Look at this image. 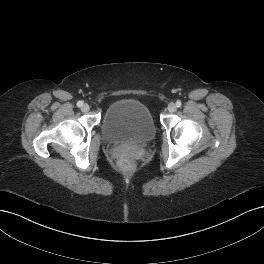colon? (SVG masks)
Listing matches in <instances>:
<instances>
[{"label":"colon","mask_w":264,"mask_h":264,"mask_svg":"<svg viewBox=\"0 0 264 264\" xmlns=\"http://www.w3.org/2000/svg\"><path fill=\"white\" fill-rule=\"evenodd\" d=\"M118 166L120 170H122L125 173H130L134 170V164L128 159L120 160Z\"/></svg>","instance_id":"colon-1"}]
</instances>
